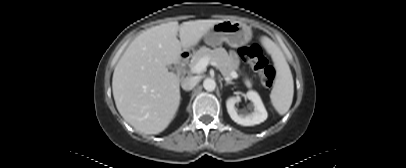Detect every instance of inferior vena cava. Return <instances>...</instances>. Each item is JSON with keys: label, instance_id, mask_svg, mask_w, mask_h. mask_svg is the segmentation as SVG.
<instances>
[{"label": "inferior vena cava", "instance_id": "obj_1", "mask_svg": "<svg viewBox=\"0 0 406 168\" xmlns=\"http://www.w3.org/2000/svg\"><path fill=\"white\" fill-rule=\"evenodd\" d=\"M197 83L198 80L196 77H186L182 80L181 86L183 90L190 91L196 86Z\"/></svg>", "mask_w": 406, "mask_h": 168}]
</instances>
